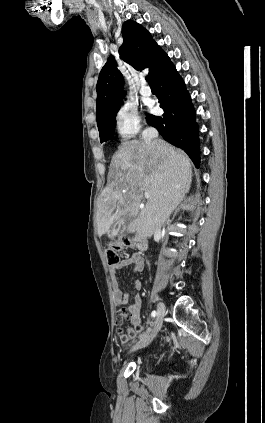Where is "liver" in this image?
Here are the masks:
<instances>
[{"mask_svg": "<svg viewBox=\"0 0 265 423\" xmlns=\"http://www.w3.org/2000/svg\"><path fill=\"white\" fill-rule=\"evenodd\" d=\"M111 182L100 195L97 212L98 235L106 234L123 216L133 217L128 233L150 237L182 200L191 183V161L165 141L154 144L131 140L113 155ZM145 192L149 198L141 207Z\"/></svg>", "mask_w": 265, "mask_h": 423, "instance_id": "liver-1", "label": "liver"}]
</instances>
